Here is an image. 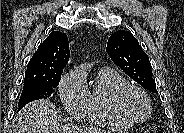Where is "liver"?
Listing matches in <instances>:
<instances>
[{"label":"liver","instance_id":"liver-1","mask_svg":"<svg viewBox=\"0 0 184 133\" xmlns=\"http://www.w3.org/2000/svg\"><path fill=\"white\" fill-rule=\"evenodd\" d=\"M16 133H102L96 128L61 127L57 109L48 100L33 101L17 114Z\"/></svg>","mask_w":184,"mask_h":133}]
</instances>
